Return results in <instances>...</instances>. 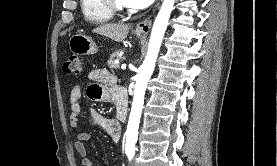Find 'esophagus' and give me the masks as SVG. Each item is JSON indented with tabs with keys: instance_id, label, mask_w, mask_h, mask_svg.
I'll return each mask as SVG.
<instances>
[{
	"instance_id": "esophagus-1",
	"label": "esophagus",
	"mask_w": 277,
	"mask_h": 166,
	"mask_svg": "<svg viewBox=\"0 0 277 166\" xmlns=\"http://www.w3.org/2000/svg\"><path fill=\"white\" fill-rule=\"evenodd\" d=\"M150 27L151 19L150 17H147L136 25L135 32L140 35H146L150 31Z\"/></svg>"
}]
</instances>
